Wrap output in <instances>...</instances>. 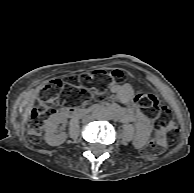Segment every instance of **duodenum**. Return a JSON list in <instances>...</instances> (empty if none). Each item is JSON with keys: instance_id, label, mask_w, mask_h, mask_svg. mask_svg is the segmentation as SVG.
I'll list each match as a JSON object with an SVG mask.
<instances>
[{"instance_id": "1", "label": "duodenum", "mask_w": 194, "mask_h": 193, "mask_svg": "<svg viewBox=\"0 0 194 193\" xmlns=\"http://www.w3.org/2000/svg\"><path fill=\"white\" fill-rule=\"evenodd\" d=\"M63 113L70 117H78L85 113V110L76 107H67L63 110Z\"/></svg>"}]
</instances>
